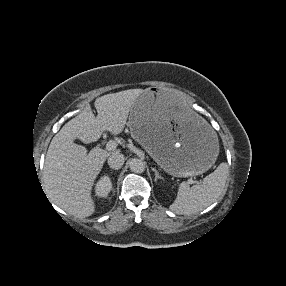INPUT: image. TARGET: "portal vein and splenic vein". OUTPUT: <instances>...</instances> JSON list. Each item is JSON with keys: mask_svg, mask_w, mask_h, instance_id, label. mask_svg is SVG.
<instances>
[{"mask_svg": "<svg viewBox=\"0 0 286 286\" xmlns=\"http://www.w3.org/2000/svg\"><path fill=\"white\" fill-rule=\"evenodd\" d=\"M117 148V142L114 140H110L109 142H107L106 144V149L111 151V150H115ZM188 182L190 184L195 183L192 179H189Z\"/></svg>", "mask_w": 286, "mask_h": 286, "instance_id": "obj_1", "label": "portal vein and splenic vein"}]
</instances>
